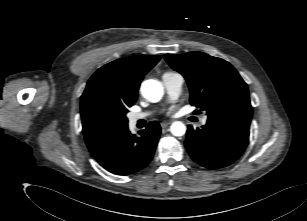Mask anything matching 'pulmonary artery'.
<instances>
[{"instance_id":"1","label":"pulmonary artery","mask_w":307,"mask_h":221,"mask_svg":"<svg viewBox=\"0 0 307 221\" xmlns=\"http://www.w3.org/2000/svg\"><path fill=\"white\" fill-rule=\"evenodd\" d=\"M162 82L165 90L170 98H177L181 91L184 83L182 75L179 73H165L162 76ZM149 116V112L135 113L130 115L129 121L131 125H134L138 120L144 119ZM207 122V118L204 117L201 123L204 125Z\"/></svg>"}]
</instances>
